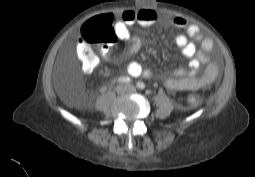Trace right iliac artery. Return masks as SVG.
Returning <instances> with one entry per match:
<instances>
[{
    "label": "right iliac artery",
    "instance_id": "right-iliac-artery-1",
    "mask_svg": "<svg viewBox=\"0 0 255 177\" xmlns=\"http://www.w3.org/2000/svg\"><path fill=\"white\" fill-rule=\"evenodd\" d=\"M119 83H131V79H130V77H120V78H118V80H117Z\"/></svg>",
    "mask_w": 255,
    "mask_h": 177
}]
</instances>
